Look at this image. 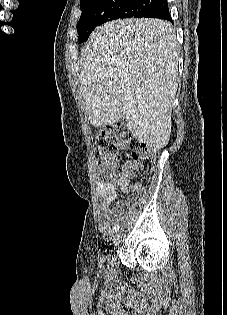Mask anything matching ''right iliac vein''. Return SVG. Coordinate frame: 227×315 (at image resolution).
I'll return each mask as SVG.
<instances>
[{
    "instance_id": "1",
    "label": "right iliac vein",
    "mask_w": 227,
    "mask_h": 315,
    "mask_svg": "<svg viewBox=\"0 0 227 315\" xmlns=\"http://www.w3.org/2000/svg\"><path fill=\"white\" fill-rule=\"evenodd\" d=\"M114 242L115 243H118L119 242V240H120V234L119 233H116V235L114 236Z\"/></svg>"
}]
</instances>
